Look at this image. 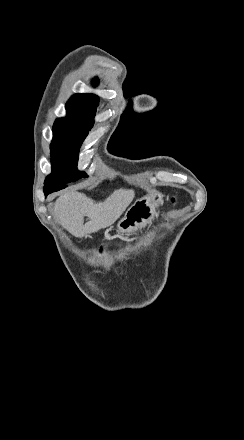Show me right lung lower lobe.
Wrapping results in <instances>:
<instances>
[{
    "mask_svg": "<svg viewBox=\"0 0 244 440\" xmlns=\"http://www.w3.org/2000/svg\"><path fill=\"white\" fill-rule=\"evenodd\" d=\"M67 186V184L65 183H50V184H45L44 186V194L48 195L52 192H56L58 190H61L63 188H65Z\"/></svg>",
    "mask_w": 244,
    "mask_h": 440,
    "instance_id": "right-lung-lower-lobe-1",
    "label": "right lung lower lobe"
}]
</instances>
